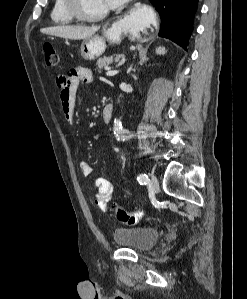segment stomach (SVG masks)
<instances>
[{"label": "stomach", "mask_w": 247, "mask_h": 299, "mask_svg": "<svg viewBox=\"0 0 247 299\" xmlns=\"http://www.w3.org/2000/svg\"><path fill=\"white\" fill-rule=\"evenodd\" d=\"M125 20L113 21L103 26L102 36H92L84 39L80 46V54L84 60L93 61L102 55L106 49V42L117 44L121 42L129 30L124 26Z\"/></svg>", "instance_id": "0dacf381"}]
</instances>
